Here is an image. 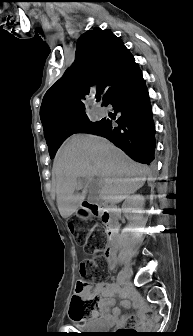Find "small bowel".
Wrapping results in <instances>:
<instances>
[{
    "label": "small bowel",
    "mask_w": 193,
    "mask_h": 336,
    "mask_svg": "<svg viewBox=\"0 0 193 336\" xmlns=\"http://www.w3.org/2000/svg\"><path fill=\"white\" fill-rule=\"evenodd\" d=\"M109 263V262H108ZM114 263V262H113ZM113 263H109L112 265ZM86 293H93L101 297V308L91 319L101 320L107 325H114L117 323L125 324L129 321H132L137 326H145L148 323V318L142 314L137 315L134 318H122L119 319V310H114V313L111 314L110 309L111 305L114 302V288L112 285L105 282H98L93 289H88ZM126 294L129 297H133L137 301V297L131 292L126 291ZM138 302V301H137ZM124 305H128V302L125 301Z\"/></svg>",
    "instance_id": "c3829d8e"
}]
</instances>
